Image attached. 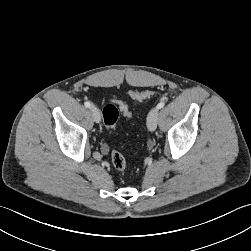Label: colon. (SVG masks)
Here are the masks:
<instances>
[{"instance_id": "obj_1", "label": "colon", "mask_w": 251, "mask_h": 251, "mask_svg": "<svg viewBox=\"0 0 251 251\" xmlns=\"http://www.w3.org/2000/svg\"><path fill=\"white\" fill-rule=\"evenodd\" d=\"M153 94V91L144 90V91H129L128 95L135 100H143L150 97ZM119 112H122L126 117H131V111L126 103L119 100H112L107 104L103 110V120L108 129H114L116 122L119 117ZM111 162L115 169L118 171H124L126 169V160L124 156L117 152L113 151L111 153Z\"/></svg>"}]
</instances>
